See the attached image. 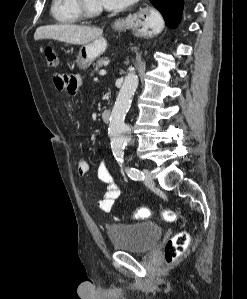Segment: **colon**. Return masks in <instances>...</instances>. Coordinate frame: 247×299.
<instances>
[{
  "mask_svg": "<svg viewBox=\"0 0 247 299\" xmlns=\"http://www.w3.org/2000/svg\"><path fill=\"white\" fill-rule=\"evenodd\" d=\"M47 66L56 68L58 66L57 53L51 47H46L44 50ZM152 215L149 208L142 207L135 211L133 217L136 220L147 219ZM162 216L167 221H173L176 214L171 210H163ZM189 243V236L186 232H179L170 238L165 245V258L167 262H172L183 254Z\"/></svg>",
  "mask_w": 247,
  "mask_h": 299,
  "instance_id": "colon-1",
  "label": "colon"
}]
</instances>
